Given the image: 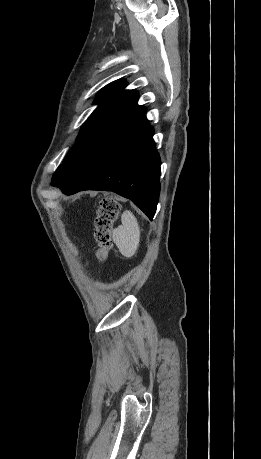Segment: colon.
Here are the masks:
<instances>
[{
    "instance_id": "5ec220e1",
    "label": "colon",
    "mask_w": 261,
    "mask_h": 459,
    "mask_svg": "<svg viewBox=\"0 0 261 459\" xmlns=\"http://www.w3.org/2000/svg\"><path fill=\"white\" fill-rule=\"evenodd\" d=\"M120 213V204L112 196L101 200L95 219V240L97 250L95 257L98 263H103L112 246V231Z\"/></svg>"
}]
</instances>
